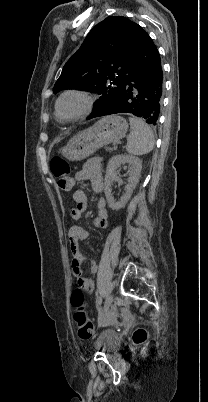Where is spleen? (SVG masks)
Segmentation results:
<instances>
[{
	"label": "spleen",
	"instance_id": "spleen-1",
	"mask_svg": "<svg viewBox=\"0 0 208 402\" xmlns=\"http://www.w3.org/2000/svg\"><path fill=\"white\" fill-rule=\"evenodd\" d=\"M131 132L128 136L127 146L129 154L143 156L149 154L154 148V136L151 128L141 118H129Z\"/></svg>",
	"mask_w": 208,
	"mask_h": 402
}]
</instances>
